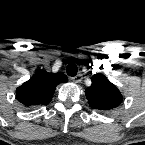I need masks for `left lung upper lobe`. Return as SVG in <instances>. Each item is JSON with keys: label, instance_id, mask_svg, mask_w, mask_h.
I'll list each match as a JSON object with an SVG mask.
<instances>
[{"label": "left lung upper lobe", "instance_id": "obj_1", "mask_svg": "<svg viewBox=\"0 0 145 145\" xmlns=\"http://www.w3.org/2000/svg\"><path fill=\"white\" fill-rule=\"evenodd\" d=\"M91 80L92 85L85 90V95L93 109L109 111L121 104L123 96L106 76L95 74Z\"/></svg>", "mask_w": 145, "mask_h": 145}]
</instances>
